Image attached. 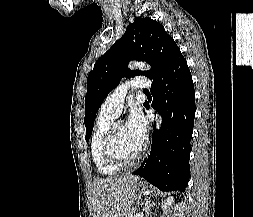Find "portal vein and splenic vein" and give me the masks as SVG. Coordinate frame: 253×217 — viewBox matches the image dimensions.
Returning a JSON list of instances; mask_svg holds the SVG:
<instances>
[{"mask_svg": "<svg viewBox=\"0 0 253 217\" xmlns=\"http://www.w3.org/2000/svg\"><path fill=\"white\" fill-rule=\"evenodd\" d=\"M130 217H143V213L141 212H139V213H137L135 216H132V215H130Z\"/></svg>", "mask_w": 253, "mask_h": 217, "instance_id": "obj_1", "label": "portal vein and splenic vein"}]
</instances>
